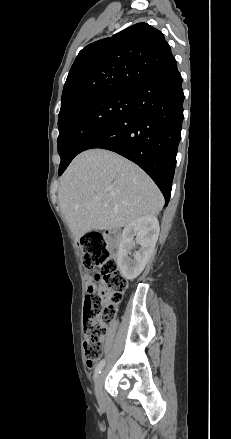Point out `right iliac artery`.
Masks as SVG:
<instances>
[{
    "label": "right iliac artery",
    "mask_w": 231,
    "mask_h": 439,
    "mask_svg": "<svg viewBox=\"0 0 231 439\" xmlns=\"http://www.w3.org/2000/svg\"><path fill=\"white\" fill-rule=\"evenodd\" d=\"M104 364H105V360H104V359L101 360V361L97 364V366H96V368H95V373H94V380H96L97 377H98V375L101 373V370H102Z\"/></svg>",
    "instance_id": "82829eb1"
}]
</instances>
